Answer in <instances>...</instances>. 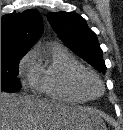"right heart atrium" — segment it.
<instances>
[{
    "label": "right heart atrium",
    "mask_w": 123,
    "mask_h": 130,
    "mask_svg": "<svg viewBox=\"0 0 123 130\" xmlns=\"http://www.w3.org/2000/svg\"><path fill=\"white\" fill-rule=\"evenodd\" d=\"M33 52H29L20 63V73L21 75H27L30 77L32 72V64H33Z\"/></svg>",
    "instance_id": "d8ad5b80"
}]
</instances>
